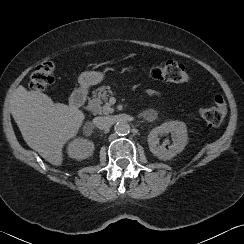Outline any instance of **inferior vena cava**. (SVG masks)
Segmentation results:
<instances>
[{
	"label": "inferior vena cava",
	"instance_id": "602c4592",
	"mask_svg": "<svg viewBox=\"0 0 244 244\" xmlns=\"http://www.w3.org/2000/svg\"><path fill=\"white\" fill-rule=\"evenodd\" d=\"M113 123L114 122L110 116H99L93 119V124L99 129H108Z\"/></svg>",
	"mask_w": 244,
	"mask_h": 244
}]
</instances>
